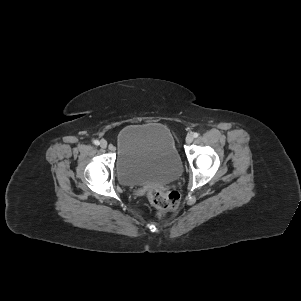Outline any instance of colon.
Wrapping results in <instances>:
<instances>
[{"instance_id": "colon-1", "label": "colon", "mask_w": 301, "mask_h": 301, "mask_svg": "<svg viewBox=\"0 0 301 301\" xmlns=\"http://www.w3.org/2000/svg\"><path fill=\"white\" fill-rule=\"evenodd\" d=\"M147 197L156 208L159 217H163L167 212L177 208L180 202V194L175 190L164 192L157 188H150Z\"/></svg>"}]
</instances>
